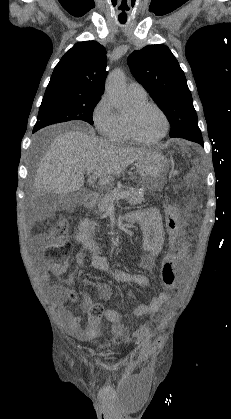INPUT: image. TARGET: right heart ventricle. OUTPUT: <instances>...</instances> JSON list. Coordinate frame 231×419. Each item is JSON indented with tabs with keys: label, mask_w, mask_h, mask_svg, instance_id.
I'll list each match as a JSON object with an SVG mask.
<instances>
[{
	"label": "right heart ventricle",
	"mask_w": 231,
	"mask_h": 419,
	"mask_svg": "<svg viewBox=\"0 0 231 419\" xmlns=\"http://www.w3.org/2000/svg\"><path fill=\"white\" fill-rule=\"evenodd\" d=\"M129 96H130V99L135 106L138 105V104H142L146 101V98L142 99V98H137V97H134V96H131V95H129ZM118 116H119L120 125H121V134L116 141L117 142H125L129 139L128 132H127V116H125L123 114H120Z\"/></svg>",
	"instance_id": "1"
}]
</instances>
